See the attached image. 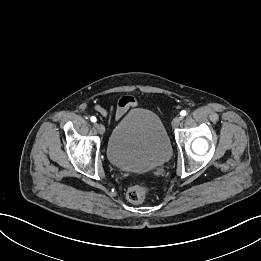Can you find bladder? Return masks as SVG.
Returning a JSON list of instances; mask_svg holds the SVG:
<instances>
[{"instance_id": "obj_1", "label": "bladder", "mask_w": 261, "mask_h": 261, "mask_svg": "<svg viewBox=\"0 0 261 261\" xmlns=\"http://www.w3.org/2000/svg\"><path fill=\"white\" fill-rule=\"evenodd\" d=\"M172 146L160 117L151 110L129 111L113 128L107 144L110 163L125 171H147L164 165Z\"/></svg>"}]
</instances>
